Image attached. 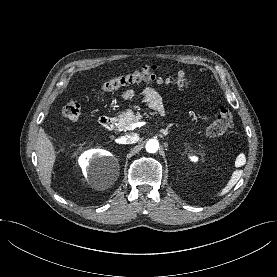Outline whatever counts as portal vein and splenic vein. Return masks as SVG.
Segmentation results:
<instances>
[{"label":"portal vein and splenic vein","instance_id":"portal-vein-and-splenic-vein-1","mask_svg":"<svg viewBox=\"0 0 277 277\" xmlns=\"http://www.w3.org/2000/svg\"><path fill=\"white\" fill-rule=\"evenodd\" d=\"M142 125H143V122L133 123V124L131 125V129H134V128H136V127H140V126H142Z\"/></svg>","mask_w":277,"mask_h":277}]
</instances>
